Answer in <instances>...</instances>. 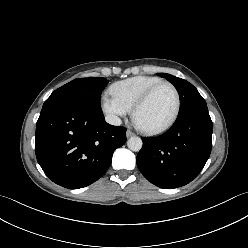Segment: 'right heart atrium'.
<instances>
[{
    "label": "right heart atrium",
    "instance_id": "d8ad5b80",
    "mask_svg": "<svg viewBox=\"0 0 248 248\" xmlns=\"http://www.w3.org/2000/svg\"><path fill=\"white\" fill-rule=\"evenodd\" d=\"M101 105L103 112L113 122H118L122 117H125L130 112V109L127 106L108 93L102 95Z\"/></svg>",
    "mask_w": 248,
    "mask_h": 248
}]
</instances>
